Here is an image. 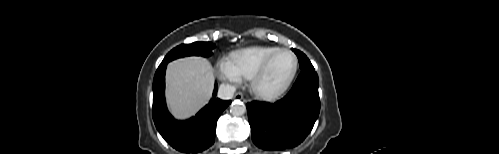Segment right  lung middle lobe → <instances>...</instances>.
Listing matches in <instances>:
<instances>
[{"instance_id": "right-lung-middle-lobe-1", "label": "right lung middle lobe", "mask_w": 499, "mask_h": 154, "mask_svg": "<svg viewBox=\"0 0 499 154\" xmlns=\"http://www.w3.org/2000/svg\"><path fill=\"white\" fill-rule=\"evenodd\" d=\"M215 47L210 42H194L192 44H182L171 50L164 58L162 63H168L176 58L184 56H211L212 49Z\"/></svg>"}]
</instances>
